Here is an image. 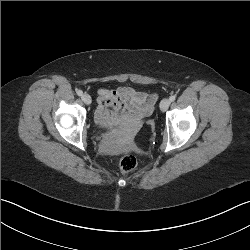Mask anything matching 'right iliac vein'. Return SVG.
I'll return each instance as SVG.
<instances>
[{
  "instance_id": "obj_1",
  "label": "right iliac vein",
  "mask_w": 250,
  "mask_h": 250,
  "mask_svg": "<svg viewBox=\"0 0 250 250\" xmlns=\"http://www.w3.org/2000/svg\"><path fill=\"white\" fill-rule=\"evenodd\" d=\"M81 99H82V101L85 103V104H87V105H89V104H91V97H90V95L89 94H83L82 96H81Z\"/></svg>"
}]
</instances>
